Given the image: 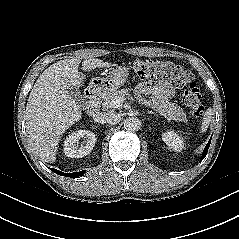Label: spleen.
Instances as JSON below:
<instances>
[{"mask_svg": "<svg viewBox=\"0 0 239 239\" xmlns=\"http://www.w3.org/2000/svg\"><path fill=\"white\" fill-rule=\"evenodd\" d=\"M213 111L212 109H207L201 123V132H205L212 120Z\"/></svg>", "mask_w": 239, "mask_h": 239, "instance_id": "spleen-1", "label": "spleen"}]
</instances>
